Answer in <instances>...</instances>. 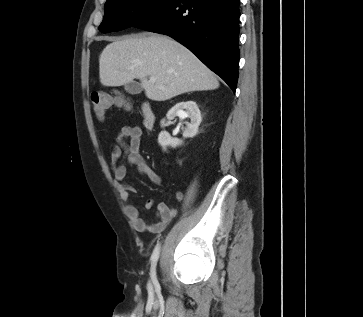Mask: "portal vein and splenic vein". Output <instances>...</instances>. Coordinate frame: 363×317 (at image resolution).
<instances>
[{"label": "portal vein and splenic vein", "instance_id": "18ae733b", "mask_svg": "<svg viewBox=\"0 0 363 317\" xmlns=\"http://www.w3.org/2000/svg\"><path fill=\"white\" fill-rule=\"evenodd\" d=\"M155 80L156 79L154 77H150V79H149L150 82H155Z\"/></svg>", "mask_w": 363, "mask_h": 317}]
</instances>
